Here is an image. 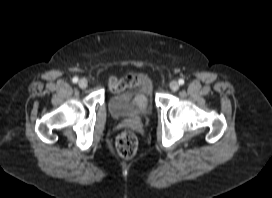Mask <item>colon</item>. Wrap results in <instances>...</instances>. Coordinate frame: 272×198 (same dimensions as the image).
Here are the masks:
<instances>
[{
	"label": "colon",
	"mask_w": 272,
	"mask_h": 198,
	"mask_svg": "<svg viewBox=\"0 0 272 198\" xmlns=\"http://www.w3.org/2000/svg\"><path fill=\"white\" fill-rule=\"evenodd\" d=\"M118 155L124 159L132 158L137 152L138 140L132 131L121 132L115 140Z\"/></svg>",
	"instance_id": "5ec220e1"
}]
</instances>
